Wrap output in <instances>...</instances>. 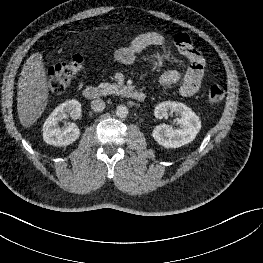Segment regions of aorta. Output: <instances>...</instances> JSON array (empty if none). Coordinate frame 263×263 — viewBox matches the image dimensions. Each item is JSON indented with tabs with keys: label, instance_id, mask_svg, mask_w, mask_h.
Instances as JSON below:
<instances>
[{
	"label": "aorta",
	"instance_id": "obj_1",
	"mask_svg": "<svg viewBox=\"0 0 263 263\" xmlns=\"http://www.w3.org/2000/svg\"><path fill=\"white\" fill-rule=\"evenodd\" d=\"M128 108L125 105H119L116 108V115L119 118H126L128 116Z\"/></svg>",
	"mask_w": 263,
	"mask_h": 263
}]
</instances>
